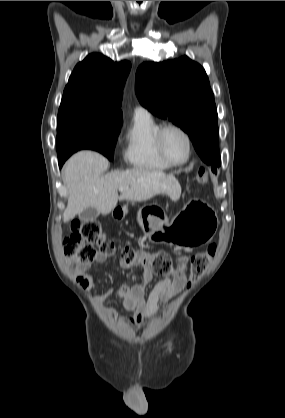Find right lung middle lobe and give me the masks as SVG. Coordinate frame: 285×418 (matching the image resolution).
I'll return each instance as SVG.
<instances>
[{
    "label": "right lung middle lobe",
    "instance_id": "dd1d6c3e",
    "mask_svg": "<svg viewBox=\"0 0 285 418\" xmlns=\"http://www.w3.org/2000/svg\"><path fill=\"white\" fill-rule=\"evenodd\" d=\"M123 121L76 110H59L57 118L58 159L82 149L96 150L113 160L114 147Z\"/></svg>",
    "mask_w": 285,
    "mask_h": 418
}]
</instances>
